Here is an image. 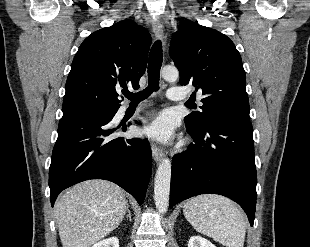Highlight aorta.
<instances>
[{
	"label": "aorta",
	"mask_w": 310,
	"mask_h": 247,
	"mask_svg": "<svg viewBox=\"0 0 310 247\" xmlns=\"http://www.w3.org/2000/svg\"><path fill=\"white\" fill-rule=\"evenodd\" d=\"M161 75L166 81H176L179 77L177 68L166 66ZM171 162L168 158L161 160L154 179V201L159 213L167 212L170 197Z\"/></svg>",
	"instance_id": "762f6f07"
}]
</instances>
